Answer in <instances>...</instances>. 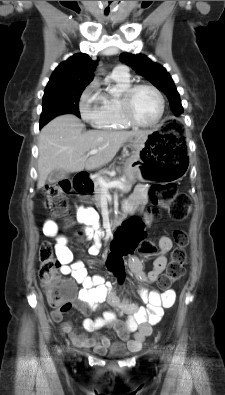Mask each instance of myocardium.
I'll return each mask as SVG.
<instances>
[{"instance_id":"f54148a6","label":"myocardium","mask_w":225,"mask_h":395,"mask_svg":"<svg viewBox=\"0 0 225 395\" xmlns=\"http://www.w3.org/2000/svg\"><path fill=\"white\" fill-rule=\"evenodd\" d=\"M140 89L151 90L157 96L159 101V107H160L159 114L157 118L151 123H141L137 121L132 113V100L135 93ZM120 108H121L123 119L130 126L139 127V128H152L158 125L163 118L165 112V100L161 91L157 87L147 83H139V84L130 85L121 93Z\"/></svg>"}]
</instances>
